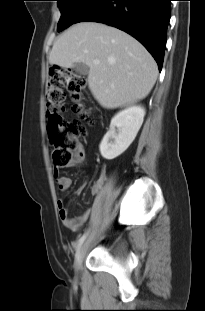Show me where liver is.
<instances>
[{
	"label": "liver",
	"mask_w": 205,
	"mask_h": 311,
	"mask_svg": "<svg viewBox=\"0 0 205 311\" xmlns=\"http://www.w3.org/2000/svg\"><path fill=\"white\" fill-rule=\"evenodd\" d=\"M49 63L64 68L86 64L89 89L108 109L144 99L158 76L155 60L141 43L98 22L77 23L65 31L53 44Z\"/></svg>",
	"instance_id": "1"
}]
</instances>
